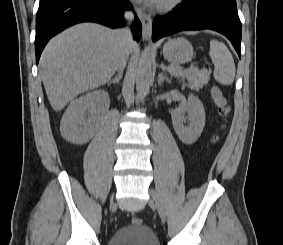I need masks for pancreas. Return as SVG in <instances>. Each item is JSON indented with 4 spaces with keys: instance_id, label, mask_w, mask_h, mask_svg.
Here are the masks:
<instances>
[{
    "instance_id": "obj_1",
    "label": "pancreas",
    "mask_w": 283,
    "mask_h": 245,
    "mask_svg": "<svg viewBox=\"0 0 283 245\" xmlns=\"http://www.w3.org/2000/svg\"><path fill=\"white\" fill-rule=\"evenodd\" d=\"M170 68L173 71L180 70L181 68L177 65H172ZM183 79L188 81V86L191 89L199 90L203 85L207 84L210 80V71L206 69L198 70L193 69L191 72L180 75Z\"/></svg>"
}]
</instances>
